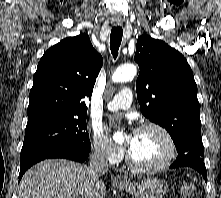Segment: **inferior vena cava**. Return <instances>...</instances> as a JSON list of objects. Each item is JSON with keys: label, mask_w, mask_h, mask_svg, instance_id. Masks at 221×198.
Segmentation results:
<instances>
[{"label": "inferior vena cava", "mask_w": 221, "mask_h": 198, "mask_svg": "<svg viewBox=\"0 0 221 198\" xmlns=\"http://www.w3.org/2000/svg\"><path fill=\"white\" fill-rule=\"evenodd\" d=\"M89 169L96 176H101L108 171L107 153L104 149H96L90 159Z\"/></svg>", "instance_id": "602c4592"}]
</instances>
